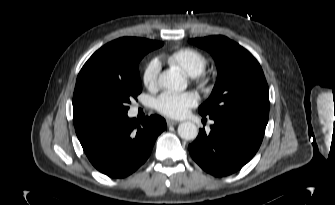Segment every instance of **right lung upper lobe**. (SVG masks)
<instances>
[{"mask_svg":"<svg viewBox=\"0 0 335 205\" xmlns=\"http://www.w3.org/2000/svg\"><path fill=\"white\" fill-rule=\"evenodd\" d=\"M158 43L143 38L123 37L114 40L97 50L84 64L78 77L75 88L85 80L101 74H119L129 65L127 47L129 45H144Z\"/></svg>","mask_w":335,"mask_h":205,"instance_id":"right-lung-upper-lobe-1","label":"right lung upper lobe"}]
</instances>
